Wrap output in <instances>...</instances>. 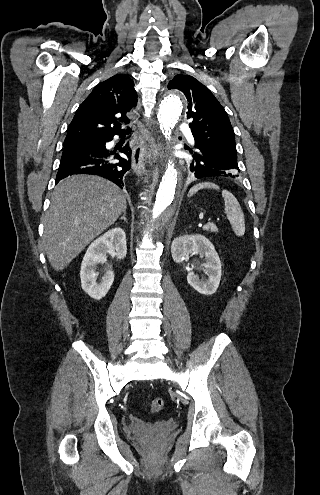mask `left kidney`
Returning <instances> with one entry per match:
<instances>
[{"label":"left kidney","mask_w":320,"mask_h":495,"mask_svg":"<svg viewBox=\"0 0 320 495\" xmlns=\"http://www.w3.org/2000/svg\"><path fill=\"white\" fill-rule=\"evenodd\" d=\"M172 258L176 263H182L189 254H200L205 257L203 271L208 278L200 280L193 271L187 274V282L203 295L216 292L221 280V261L213 244L202 235H184L173 240L171 245Z\"/></svg>","instance_id":"left-kidney-1"}]
</instances>
